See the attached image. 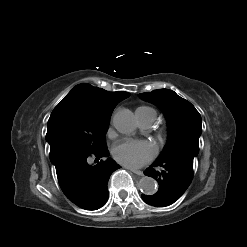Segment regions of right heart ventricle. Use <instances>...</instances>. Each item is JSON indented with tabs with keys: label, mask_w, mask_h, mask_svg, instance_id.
Wrapping results in <instances>:
<instances>
[{
	"label": "right heart ventricle",
	"mask_w": 247,
	"mask_h": 247,
	"mask_svg": "<svg viewBox=\"0 0 247 247\" xmlns=\"http://www.w3.org/2000/svg\"><path fill=\"white\" fill-rule=\"evenodd\" d=\"M137 117L139 121L146 120V119H153L155 120L157 117V112L155 109L149 106H140L136 111Z\"/></svg>",
	"instance_id": "obj_1"
}]
</instances>
